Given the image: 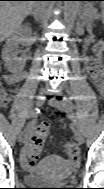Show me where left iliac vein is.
<instances>
[{"label":"left iliac vein","instance_id":"4c4485c4","mask_svg":"<svg viewBox=\"0 0 104 189\" xmlns=\"http://www.w3.org/2000/svg\"><path fill=\"white\" fill-rule=\"evenodd\" d=\"M50 104L59 108L61 111L65 112L67 116L73 121L75 127V139L79 144H83L84 136L81 128L79 127L77 121L75 120V114L70 106H68L64 101L54 99L50 101Z\"/></svg>","mask_w":104,"mask_h":189}]
</instances>
